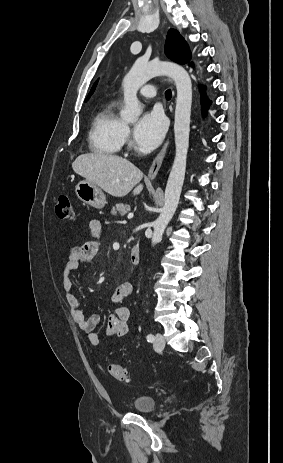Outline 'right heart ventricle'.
I'll return each mask as SVG.
<instances>
[{"instance_id": "obj_1", "label": "right heart ventricle", "mask_w": 283, "mask_h": 463, "mask_svg": "<svg viewBox=\"0 0 283 463\" xmlns=\"http://www.w3.org/2000/svg\"><path fill=\"white\" fill-rule=\"evenodd\" d=\"M125 123L116 111V103L110 102L94 116L89 132L90 149L101 155H115L124 142Z\"/></svg>"}]
</instances>
